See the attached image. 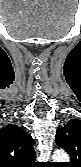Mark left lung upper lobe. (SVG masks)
I'll return each mask as SVG.
<instances>
[{"mask_svg": "<svg viewBox=\"0 0 81 167\" xmlns=\"http://www.w3.org/2000/svg\"><path fill=\"white\" fill-rule=\"evenodd\" d=\"M56 144L70 155L67 166L77 167L81 162V120L71 119L56 131Z\"/></svg>", "mask_w": 81, "mask_h": 167, "instance_id": "5c2ea615", "label": "left lung upper lobe"}]
</instances>
